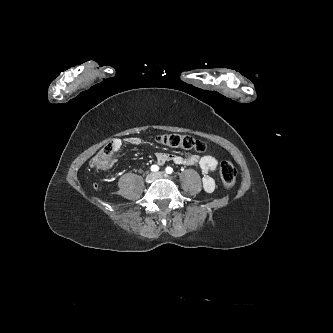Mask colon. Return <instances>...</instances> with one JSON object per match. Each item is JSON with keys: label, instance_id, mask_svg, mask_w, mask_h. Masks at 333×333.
I'll use <instances>...</instances> for the list:
<instances>
[{"label": "colon", "instance_id": "colon-1", "mask_svg": "<svg viewBox=\"0 0 333 333\" xmlns=\"http://www.w3.org/2000/svg\"><path fill=\"white\" fill-rule=\"evenodd\" d=\"M158 141L166 146L173 148H181L185 150H193L202 153L205 151V144L190 136L177 133L164 134L158 138ZM113 145H108L101 153L91 161V166L94 169L101 170L108 166L112 155ZM220 177L225 188L230 189L234 186L237 176V171L230 161H222L219 166Z\"/></svg>", "mask_w": 333, "mask_h": 333}]
</instances>
